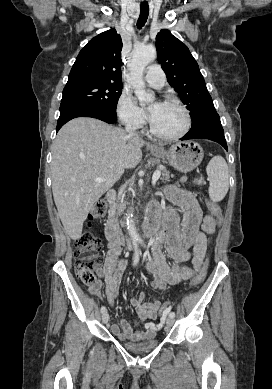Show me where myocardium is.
<instances>
[{"label":"myocardium","mask_w":272,"mask_h":389,"mask_svg":"<svg viewBox=\"0 0 272 389\" xmlns=\"http://www.w3.org/2000/svg\"><path fill=\"white\" fill-rule=\"evenodd\" d=\"M161 103L168 104V105H173V106L177 107L184 115V119H185L184 126L176 134H164V133H161V132H159L158 130L155 129V127H154V125H153V123H152V121L150 119V121H149L150 132L155 137L160 138L162 140H168V141L177 140V139H180V138L184 137L189 132V130L191 128V125H192L191 115H190V112L187 109V107L182 102H180L179 100L173 99V98H164L161 101Z\"/></svg>","instance_id":"obj_1"}]
</instances>
